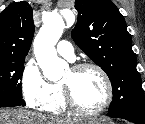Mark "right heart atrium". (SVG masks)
<instances>
[{"label":"right heart atrium","mask_w":145,"mask_h":124,"mask_svg":"<svg viewBox=\"0 0 145 124\" xmlns=\"http://www.w3.org/2000/svg\"><path fill=\"white\" fill-rule=\"evenodd\" d=\"M21 90L25 101L33 108L41 109L52 101L51 84L44 79L33 59L24 65Z\"/></svg>","instance_id":"obj_1"}]
</instances>
